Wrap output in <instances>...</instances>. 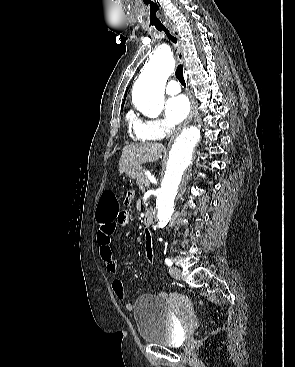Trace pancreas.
<instances>
[{"mask_svg": "<svg viewBox=\"0 0 295 367\" xmlns=\"http://www.w3.org/2000/svg\"><path fill=\"white\" fill-rule=\"evenodd\" d=\"M147 180L146 175L142 172L140 176L136 180V184L139 187L140 190L144 189L145 181Z\"/></svg>", "mask_w": 295, "mask_h": 367, "instance_id": "cf45deb5", "label": "pancreas"}]
</instances>
